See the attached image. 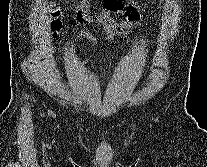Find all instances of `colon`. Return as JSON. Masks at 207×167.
Returning a JSON list of instances; mask_svg holds the SVG:
<instances>
[{
	"label": "colon",
	"instance_id": "obj_1",
	"mask_svg": "<svg viewBox=\"0 0 207 167\" xmlns=\"http://www.w3.org/2000/svg\"><path fill=\"white\" fill-rule=\"evenodd\" d=\"M51 27L54 31H57L61 27V13L59 10H54L53 12Z\"/></svg>",
	"mask_w": 207,
	"mask_h": 167
}]
</instances>
